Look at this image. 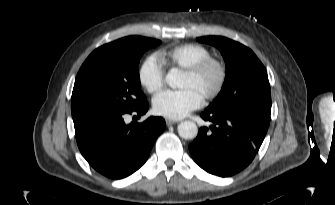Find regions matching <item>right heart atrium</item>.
<instances>
[{
	"instance_id": "d8ad5b80",
	"label": "right heart atrium",
	"mask_w": 335,
	"mask_h": 205,
	"mask_svg": "<svg viewBox=\"0 0 335 205\" xmlns=\"http://www.w3.org/2000/svg\"><path fill=\"white\" fill-rule=\"evenodd\" d=\"M139 82L149 92L156 93L164 85L165 68L160 58L152 54L140 66Z\"/></svg>"
}]
</instances>
